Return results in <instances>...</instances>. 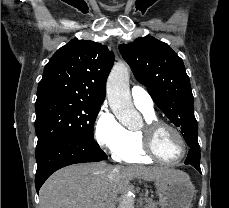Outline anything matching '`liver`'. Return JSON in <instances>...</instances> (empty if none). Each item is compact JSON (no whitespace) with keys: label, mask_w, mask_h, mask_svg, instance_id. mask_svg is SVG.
Instances as JSON below:
<instances>
[{"label":"liver","mask_w":229,"mask_h":208,"mask_svg":"<svg viewBox=\"0 0 229 208\" xmlns=\"http://www.w3.org/2000/svg\"><path fill=\"white\" fill-rule=\"evenodd\" d=\"M181 170L168 166H108L105 162L73 164L52 174L43 184L40 208H115L117 194L126 190L130 180L141 178H183Z\"/></svg>","instance_id":"liver-1"}]
</instances>
